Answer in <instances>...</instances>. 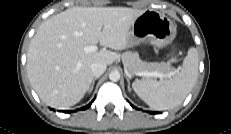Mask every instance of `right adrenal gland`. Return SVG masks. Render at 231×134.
Instances as JSON below:
<instances>
[{
    "instance_id": "right-adrenal-gland-1",
    "label": "right adrenal gland",
    "mask_w": 231,
    "mask_h": 134,
    "mask_svg": "<svg viewBox=\"0 0 231 134\" xmlns=\"http://www.w3.org/2000/svg\"><path fill=\"white\" fill-rule=\"evenodd\" d=\"M98 78H99V77H94V78H93L92 83H91V86H90V88H89V90H88L89 93L92 92L93 87H94V83H95V81H96Z\"/></svg>"
}]
</instances>
